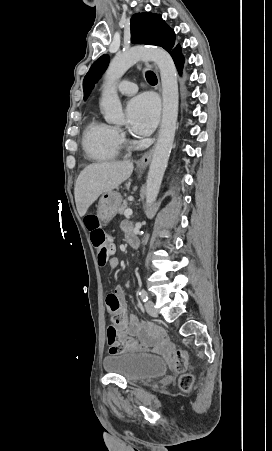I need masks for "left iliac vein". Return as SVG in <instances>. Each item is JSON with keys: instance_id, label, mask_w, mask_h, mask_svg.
I'll return each instance as SVG.
<instances>
[{"instance_id": "4c4485c4", "label": "left iliac vein", "mask_w": 272, "mask_h": 451, "mask_svg": "<svg viewBox=\"0 0 272 451\" xmlns=\"http://www.w3.org/2000/svg\"><path fill=\"white\" fill-rule=\"evenodd\" d=\"M145 309H146L147 313L150 316H157L158 315V311L154 307V303L152 301H150V300H147L145 302Z\"/></svg>"}]
</instances>
